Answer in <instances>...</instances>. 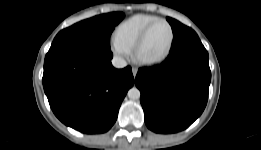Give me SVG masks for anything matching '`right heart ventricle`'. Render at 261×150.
I'll use <instances>...</instances> for the list:
<instances>
[{"label": "right heart ventricle", "mask_w": 261, "mask_h": 150, "mask_svg": "<svg viewBox=\"0 0 261 150\" xmlns=\"http://www.w3.org/2000/svg\"><path fill=\"white\" fill-rule=\"evenodd\" d=\"M158 19L157 16L148 14H136L122 21L114 31V39L131 51L142 33L151 22Z\"/></svg>", "instance_id": "obj_1"}]
</instances>
